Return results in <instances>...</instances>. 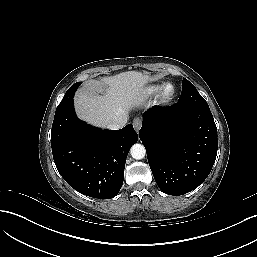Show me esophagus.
I'll use <instances>...</instances> for the list:
<instances>
[{
    "instance_id": "obj_1",
    "label": "esophagus",
    "mask_w": 257,
    "mask_h": 257,
    "mask_svg": "<svg viewBox=\"0 0 257 257\" xmlns=\"http://www.w3.org/2000/svg\"><path fill=\"white\" fill-rule=\"evenodd\" d=\"M142 126V121L139 118L133 120V127L138 132Z\"/></svg>"
}]
</instances>
